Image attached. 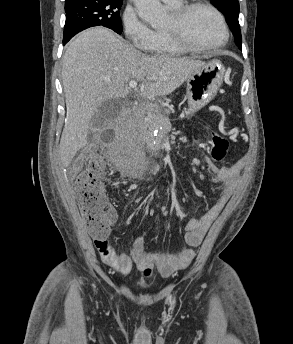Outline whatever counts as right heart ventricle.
<instances>
[{"label": "right heart ventricle", "instance_id": "e07e8e85", "mask_svg": "<svg viewBox=\"0 0 293 344\" xmlns=\"http://www.w3.org/2000/svg\"><path fill=\"white\" fill-rule=\"evenodd\" d=\"M180 5L181 2L171 5V7L176 8ZM147 51L151 55L160 57L181 56L187 53L185 49L175 44L164 31H156L155 39Z\"/></svg>", "mask_w": 293, "mask_h": 344}]
</instances>
